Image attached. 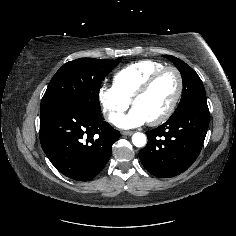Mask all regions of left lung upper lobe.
Instances as JSON below:
<instances>
[{
    "mask_svg": "<svg viewBox=\"0 0 236 236\" xmlns=\"http://www.w3.org/2000/svg\"><path fill=\"white\" fill-rule=\"evenodd\" d=\"M165 57L179 69L183 80L182 97L173 115L191 104L206 101L205 89L198 74L182 60L171 55H165Z\"/></svg>",
    "mask_w": 236,
    "mask_h": 236,
    "instance_id": "5c2ea615",
    "label": "left lung upper lobe"
}]
</instances>
